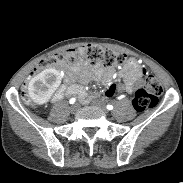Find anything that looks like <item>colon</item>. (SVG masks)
Returning a JSON list of instances; mask_svg holds the SVG:
<instances>
[{
	"instance_id": "5ec220e1",
	"label": "colon",
	"mask_w": 183,
	"mask_h": 183,
	"mask_svg": "<svg viewBox=\"0 0 183 183\" xmlns=\"http://www.w3.org/2000/svg\"><path fill=\"white\" fill-rule=\"evenodd\" d=\"M82 57L92 64H102L104 66H117L126 62L127 57L123 53L103 48L95 44H87L79 49H69L66 51L52 54L43 58L34 69L35 72L43 71L52 66L61 64H74L78 57ZM124 88L120 84L110 83L106 95L115 97L122 94ZM162 93L160 82L152 75H147L144 86L139 88L133 99V106L137 111H144L154 107L158 102V97Z\"/></svg>"
}]
</instances>
